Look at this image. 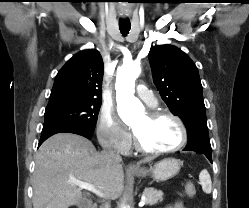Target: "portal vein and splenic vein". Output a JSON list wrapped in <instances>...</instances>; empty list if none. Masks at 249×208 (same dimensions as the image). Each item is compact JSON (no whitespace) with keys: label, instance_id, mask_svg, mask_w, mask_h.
<instances>
[{"label":"portal vein and splenic vein","instance_id":"18ae733b","mask_svg":"<svg viewBox=\"0 0 249 208\" xmlns=\"http://www.w3.org/2000/svg\"><path fill=\"white\" fill-rule=\"evenodd\" d=\"M73 184L79 186L81 189H86L88 191H91L92 193L98 195L99 197H104V194L102 192H100L99 190H97L95 188V186H93L92 184L86 183V182H82V181H72ZM145 205V199L143 198L140 202H139V207H143Z\"/></svg>","mask_w":249,"mask_h":208}]
</instances>
